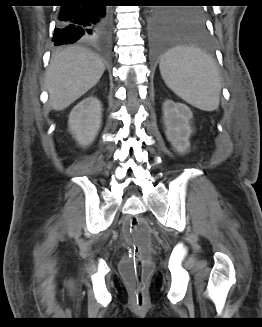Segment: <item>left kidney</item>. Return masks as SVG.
Listing matches in <instances>:
<instances>
[{
    "instance_id": "obj_1",
    "label": "left kidney",
    "mask_w": 262,
    "mask_h": 327,
    "mask_svg": "<svg viewBox=\"0 0 262 327\" xmlns=\"http://www.w3.org/2000/svg\"><path fill=\"white\" fill-rule=\"evenodd\" d=\"M163 113L168 141L178 153L185 154L190 147L189 138L193 132L190 126L192 111L185 104L166 100L163 103Z\"/></svg>"
}]
</instances>
